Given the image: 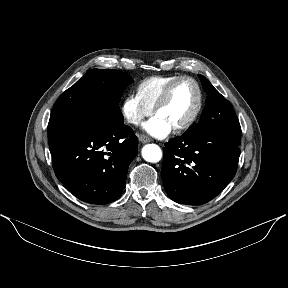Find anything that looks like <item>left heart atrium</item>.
Masks as SVG:
<instances>
[{
  "mask_svg": "<svg viewBox=\"0 0 288 288\" xmlns=\"http://www.w3.org/2000/svg\"><path fill=\"white\" fill-rule=\"evenodd\" d=\"M144 128L153 136L163 138L167 136L172 127L161 116L156 115L144 124Z\"/></svg>",
  "mask_w": 288,
  "mask_h": 288,
  "instance_id": "1",
  "label": "left heart atrium"
}]
</instances>
